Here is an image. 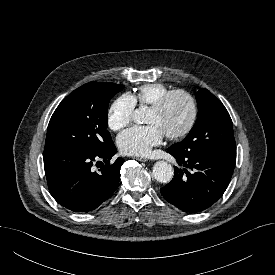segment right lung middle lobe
<instances>
[{
  "mask_svg": "<svg viewBox=\"0 0 275 275\" xmlns=\"http://www.w3.org/2000/svg\"><path fill=\"white\" fill-rule=\"evenodd\" d=\"M123 85L90 82L67 96L53 113L44 151L66 150L97 154L112 143L107 129L110 99Z\"/></svg>",
  "mask_w": 275,
  "mask_h": 275,
  "instance_id": "1",
  "label": "right lung middle lobe"
}]
</instances>
